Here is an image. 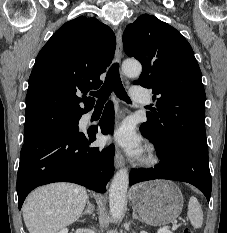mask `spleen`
Returning <instances> with one entry per match:
<instances>
[{
	"label": "spleen",
	"instance_id": "obj_1",
	"mask_svg": "<svg viewBox=\"0 0 227 233\" xmlns=\"http://www.w3.org/2000/svg\"><path fill=\"white\" fill-rule=\"evenodd\" d=\"M188 217L194 228H201L203 224V212L197 198L193 196L189 199L188 203Z\"/></svg>",
	"mask_w": 227,
	"mask_h": 233
}]
</instances>
